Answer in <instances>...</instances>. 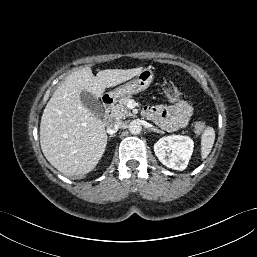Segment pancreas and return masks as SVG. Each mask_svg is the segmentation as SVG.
Returning <instances> with one entry per match:
<instances>
[{"mask_svg": "<svg viewBox=\"0 0 257 257\" xmlns=\"http://www.w3.org/2000/svg\"><path fill=\"white\" fill-rule=\"evenodd\" d=\"M130 99V96L120 99L118 104L115 105L111 110L112 117H114L116 120H120L132 116V113L127 109V103L130 101Z\"/></svg>", "mask_w": 257, "mask_h": 257, "instance_id": "1", "label": "pancreas"}]
</instances>
